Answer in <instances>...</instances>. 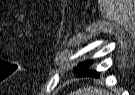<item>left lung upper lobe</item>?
I'll return each mask as SVG.
<instances>
[{
	"label": "left lung upper lobe",
	"mask_w": 135,
	"mask_h": 95,
	"mask_svg": "<svg viewBox=\"0 0 135 95\" xmlns=\"http://www.w3.org/2000/svg\"><path fill=\"white\" fill-rule=\"evenodd\" d=\"M85 64H86V62L80 63L76 68H74V70H78V69H80V68L85 67Z\"/></svg>",
	"instance_id": "obj_1"
}]
</instances>
